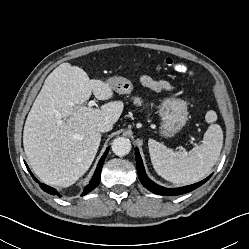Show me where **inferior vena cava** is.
<instances>
[{"label": "inferior vena cava", "mask_w": 249, "mask_h": 249, "mask_svg": "<svg viewBox=\"0 0 249 249\" xmlns=\"http://www.w3.org/2000/svg\"><path fill=\"white\" fill-rule=\"evenodd\" d=\"M112 129V124H110L109 122L107 121H100L98 124H97V130L99 132H108Z\"/></svg>", "instance_id": "602c4592"}]
</instances>
